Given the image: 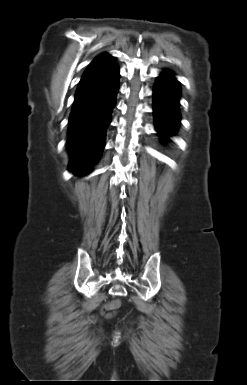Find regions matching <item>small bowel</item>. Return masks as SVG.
<instances>
[{
    "instance_id": "c3829d8e",
    "label": "small bowel",
    "mask_w": 247,
    "mask_h": 385,
    "mask_svg": "<svg viewBox=\"0 0 247 385\" xmlns=\"http://www.w3.org/2000/svg\"><path fill=\"white\" fill-rule=\"evenodd\" d=\"M120 306V301L118 299H113L111 301H107L104 305H103V309L105 311H114L115 309H117L118 307ZM108 316H112L113 314L112 313H108L107 314Z\"/></svg>"
}]
</instances>
